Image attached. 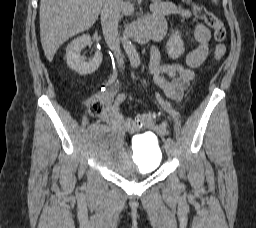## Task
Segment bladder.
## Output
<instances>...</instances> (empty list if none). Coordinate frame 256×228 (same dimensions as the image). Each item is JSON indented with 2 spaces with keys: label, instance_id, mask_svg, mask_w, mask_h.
I'll return each mask as SVG.
<instances>
[{
  "label": "bladder",
  "instance_id": "1",
  "mask_svg": "<svg viewBox=\"0 0 256 228\" xmlns=\"http://www.w3.org/2000/svg\"><path fill=\"white\" fill-rule=\"evenodd\" d=\"M88 147L95 159L124 179L153 173L162 159V151L156 139H139L134 151H127L122 133L105 126L97 127L90 135Z\"/></svg>",
  "mask_w": 256,
  "mask_h": 228
}]
</instances>
